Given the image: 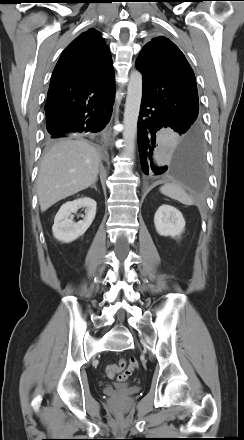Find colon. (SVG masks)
I'll use <instances>...</instances> for the list:
<instances>
[{
	"label": "colon",
	"instance_id": "1",
	"mask_svg": "<svg viewBox=\"0 0 244 440\" xmlns=\"http://www.w3.org/2000/svg\"><path fill=\"white\" fill-rule=\"evenodd\" d=\"M138 360L135 357H131L128 362L121 360L117 364L108 365L105 369V373L108 378H114L116 375L118 381H125L131 375V373L138 368Z\"/></svg>",
	"mask_w": 244,
	"mask_h": 440
}]
</instances>
